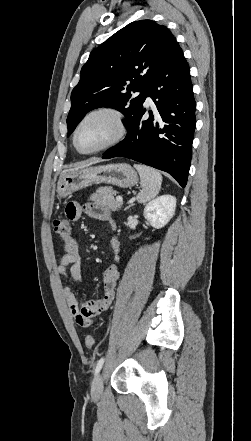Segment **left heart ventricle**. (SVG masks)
<instances>
[{"label": "left heart ventricle", "mask_w": 251, "mask_h": 441, "mask_svg": "<svg viewBox=\"0 0 251 441\" xmlns=\"http://www.w3.org/2000/svg\"><path fill=\"white\" fill-rule=\"evenodd\" d=\"M116 133V125L113 119L105 114L90 117L80 128L78 133V145L82 150L95 149Z\"/></svg>", "instance_id": "left-heart-ventricle-1"}]
</instances>
